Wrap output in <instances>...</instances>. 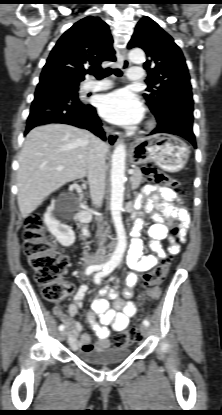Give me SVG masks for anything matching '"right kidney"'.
Returning <instances> with one entry per match:
<instances>
[{
  "mask_svg": "<svg viewBox=\"0 0 222 415\" xmlns=\"http://www.w3.org/2000/svg\"><path fill=\"white\" fill-rule=\"evenodd\" d=\"M44 223L51 234L63 246H71L75 242V233L72 228L57 219L56 209L50 206L44 214Z\"/></svg>",
  "mask_w": 222,
  "mask_h": 415,
  "instance_id": "right-kidney-1",
  "label": "right kidney"
}]
</instances>
